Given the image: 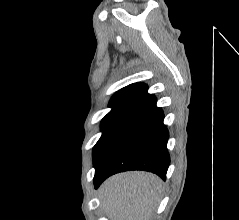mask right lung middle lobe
<instances>
[{"label": "right lung middle lobe", "instance_id": "obj_1", "mask_svg": "<svg viewBox=\"0 0 239 220\" xmlns=\"http://www.w3.org/2000/svg\"><path fill=\"white\" fill-rule=\"evenodd\" d=\"M130 109L131 108L129 107L113 109L103 118L101 122L102 136L93 149L94 166H96L100 161L105 149L124 121Z\"/></svg>", "mask_w": 239, "mask_h": 220}]
</instances>
